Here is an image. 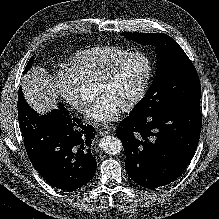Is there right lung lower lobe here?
<instances>
[{"instance_id":"1","label":"right lung lower lobe","mask_w":219,"mask_h":219,"mask_svg":"<svg viewBox=\"0 0 219 219\" xmlns=\"http://www.w3.org/2000/svg\"><path fill=\"white\" fill-rule=\"evenodd\" d=\"M18 119L24 146L34 168L52 186L73 191L86 185L96 172L91 154L95 129L72 117L63 104L39 115L18 94Z\"/></svg>"}]
</instances>
